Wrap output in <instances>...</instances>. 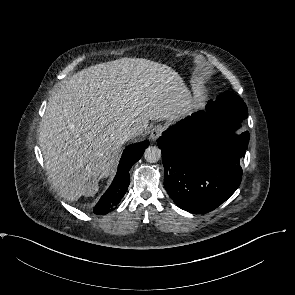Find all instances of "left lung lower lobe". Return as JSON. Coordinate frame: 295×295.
Masks as SVG:
<instances>
[{
  "mask_svg": "<svg viewBox=\"0 0 295 295\" xmlns=\"http://www.w3.org/2000/svg\"><path fill=\"white\" fill-rule=\"evenodd\" d=\"M212 102L157 140L164 187L178 207L191 213L210 212L236 191L249 142L248 131L234 133L243 119L217 112Z\"/></svg>",
  "mask_w": 295,
  "mask_h": 295,
  "instance_id": "left-lung-lower-lobe-1",
  "label": "left lung lower lobe"
}]
</instances>
